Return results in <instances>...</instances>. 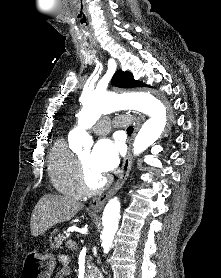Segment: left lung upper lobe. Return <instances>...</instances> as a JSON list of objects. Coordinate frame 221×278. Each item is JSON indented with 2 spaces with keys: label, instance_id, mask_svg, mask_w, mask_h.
Returning <instances> with one entry per match:
<instances>
[{
  "label": "left lung upper lobe",
  "instance_id": "1",
  "mask_svg": "<svg viewBox=\"0 0 221 278\" xmlns=\"http://www.w3.org/2000/svg\"><path fill=\"white\" fill-rule=\"evenodd\" d=\"M112 84L120 88L144 87L141 81L134 80L130 72L117 71L112 78Z\"/></svg>",
  "mask_w": 221,
  "mask_h": 278
}]
</instances>
